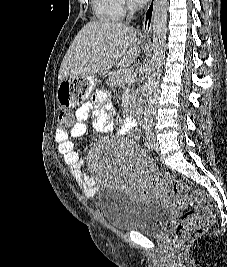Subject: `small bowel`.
<instances>
[{
	"instance_id": "1",
	"label": "small bowel",
	"mask_w": 227,
	"mask_h": 267,
	"mask_svg": "<svg viewBox=\"0 0 227 267\" xmlns=\"http://www.w3.org/2000/svg\"><path fill=\"white\" fill-rule=\"evenodd\" d=\"M110 105L104 92H98L95 95L92 104H84L75 111V123L70 130H56L55 140L58 144L59 152L63 155L65 163L69 166L71 174L81 187L84 195L93 198L97 193V182L84 170V164L75 151V144L71 139H77L86 132L85 122L92 116L94 117V126L101 132L110 131L113 126L108 122L107 112ZM138 122L133 117L126 118L121 127L120 133L133 134L137 128ZM153 192V188L142 186L137 195L147 196Z\"/></svg>"
}]
</instances>
